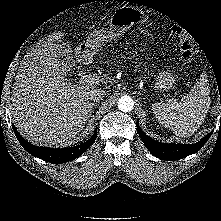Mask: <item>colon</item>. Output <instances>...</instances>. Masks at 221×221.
Instances as JSON below:
<instances>
[{
  "instance_id": "5ec220e1",
  "label": "colon",
  "mask_w": 221,
  "mask_h": 221,
  "mask_svg": "<svg viewBox=\"0 0 221 221\" xmlns=\"http://www.w3.org/2000/svg\"><path fill=\"white\" fill-rule=\"evenodd\" d=\"M173 32L179 38V48L184 59H190L193 55L195 44L181 26H174Z\"/></svg>"
}]
</instances>
